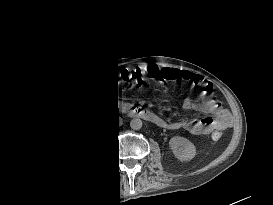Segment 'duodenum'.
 I'll return each instance as SVG.
<instances>
[{"label": "duodenum", "mask_w": 273, "mask_h": 205, "mask_svg": "<svg viewBox=\"0 0 273 205\" xmlns=\"http://www.w3.org/2000/svg\"><path fill=\"white\" fill-rule=\"evenodd\" d=\"M125 114L128 117H140L144 119L157 120V116L154 113L138 107H127L125 109Z\"/></svg>", "instance_id": "obj_1"}]
</instances>
